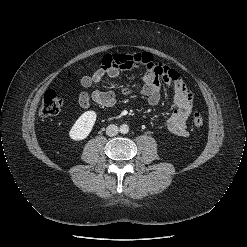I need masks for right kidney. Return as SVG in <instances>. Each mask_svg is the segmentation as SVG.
I'll return each instance as SVG.
<instances>
[{
	"instance_id": "ca27d5eb",
	"label": "right kidney",
	"mask_w": 247,
	"mask_h": 247,
	"mask_svg": "<svg viewBox=\"0 0 247 247\" xmlns=\"http://www.w3.org/2000/svg\"><path fill=\"white\" fill-rule=\"evenodd\" d=\"M96 117L97 114L95 111L90 110L84 112L70 129L69 137L75 141H81L87 138L95 124Z\"/></svg>"
}]
</instances>
